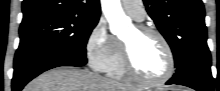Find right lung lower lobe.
I'll use <instances>...</instances> for the list:
<instances>
[{"label": "right lung lower lobe", "mask_w": 220, "mask_h": 91, "mask_svg": "<svg viewBox=\"0 0 220 91\" xmlns=\"http://www.w3.org/2000/svg\"><path fill=\"white\" fill-rule=\"evenodd\" d=\"M86 63L85 56L59 47L46 45L19 47L14 59L12 91H21L30 80L51 68L83 66Z\"/></svg>", "instance_id": "98d812e1"}]
</instances>
